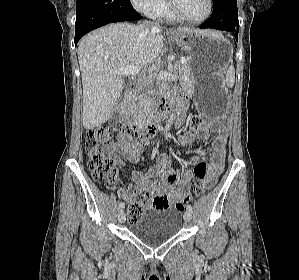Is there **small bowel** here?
<instances>
[{
  "label": "small bowel",
  "mask_w": 299,
  "mask_h": 280,
  "mask_svg": "<svg viewBox=\"0 0 299 280\" xmlns=\"http://www.w3.org/2000/svg\"><path fill=\"white\" fill-rule=\"evenodd\" d=\"M182 102L185 104L184 101ZM185 107L186 104L176 119L178 126L183 123ZM199 128H201V133H189V130L181 131L178 143L181 148L189 150L194 139H204L209 132L217 133L211 147L201 156L192 158L194 162H204L207 165V180L214 183L223 169L229 125L217 121H204ZM107 152L116 162H120L116 153L122 154L133 162L138 161L140 156V148L127 134H121L116 143L107 147ZM168 165L169 160L162 157L158 165L152 168L148 174L139 171L132 173L136 189L142 195L140 201L144 204L145 209L169 208L189 197L193 171L189 169L181 176L177 171L169 170ZM121 197L128 203L135 200L131 191H122Z\"/></svg>",
  "instance_id": "small-bowel-1"
}]
</instances>
